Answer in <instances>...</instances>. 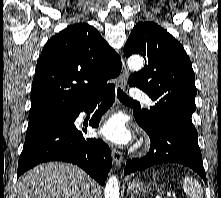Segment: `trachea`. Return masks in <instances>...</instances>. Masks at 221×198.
Instances as JSON below:
<instances>
[{
    "label": "trachea",
    "mask_w": 221,
    "mask_h": 198,
    "mask_svg": "<svg viewBox=\"0 0 221 198\" xmlns=\"http://www.w3.org/2000/svg\"><path fill=\"white\" fill-rule=\"evenodd\" d=\"M117 98L125 104H138L137 101L129 98L120 88L117 89Z\"/></svg>",
    "instance_id": "1"
}]
</instances>
